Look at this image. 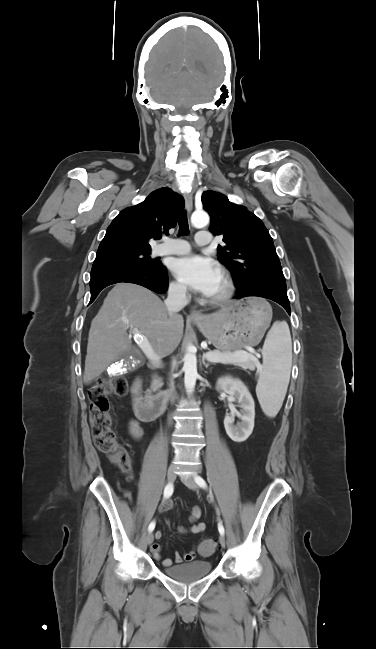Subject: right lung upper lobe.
Segmentation results:
<instances>
[{"label": "right lung upper lobe", "instance_id": "right-lung-upper-lobe-1", "mask_svg": "<svg viewBox=\"0 0 376 649\" xmlns=\"http://www.w3.org/2000/svg\"><path fill=\"white\" fill-rule=\"evenodd\" d=\"M184 199L171 189L160 188L140 204L122 210L107 228L97 254L150 251L149 239L168 235L177 224Z\"/></svg>", "mask_w": 376, "mask_h": 649}]
</instances>
